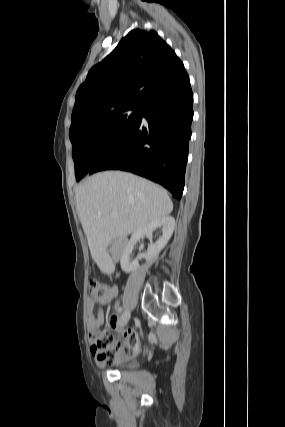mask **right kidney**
I'll use <instances>...</instances> for the list:
<instances>
[{
  "mask_svg": "<svg viewBox=\"0 0 285 427\" xmlns=\"http://www.w3.org/2000/svg\"><path fill=\"white\" fill-rule=\"evenodd\" d=\"M161 227L162 236L155 242L150 243L145 254L139 255L135 260H130V255L137 241L144 236H150L152 232ZM175 227V220L171 216H165L159 220L149 223L144 228L134 232L130 241L126 245L121 256V268L124 272L130 273L139 267V259L145 258L147 262H151L159 252L165 247L171 238Z\"/></svg>",
  "mask_w": 285,
  "mask_h": 427,
  "instance_id": "ca27d5eb",
  "label": "right kidney"
}]
</instances>
